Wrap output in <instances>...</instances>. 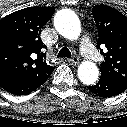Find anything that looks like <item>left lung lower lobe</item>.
Returning a JSON list of instances; mask_svg holds the SVG:
<instances>
[{
    "instance_id": "obj_1",
    "label": "left lung lower lobe",
    "mask_w": 127,
    "mask_h": 127,
    "mask_svg": "<svg viewBox=\"0 0 127 127\" xmlns=\"http://www.w3.org/2000/svg\"><path fill=\"white\" fill-rule=\"evenodd\" d=\"M89 89L101 97H112L125 91L127 89V83L101 74L99 82L96 85L90 86Z\"/></svg>"
}]
</instances>
